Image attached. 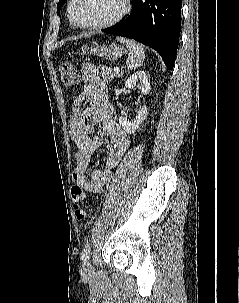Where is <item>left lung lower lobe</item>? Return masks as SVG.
Wrapping results in <instances>:
<instances>
[{
  "mask_svg": "<svg viewBox=\"0 0 239 303\" xmlns=\"http://www.w3.org/2000/svg\"><path fill=\"white\" fill-rule=\"evenodd\" d=\"M181 7L182 0H132L130 15L102 32L135 39L155 49L171 70L181 31Z\"/></svg>",
  "mask_w": 239,
  "mask_h": 303,
  "instance_id": "obj_1",
  "label": "left lung lower lobe"
}]
</instances>
